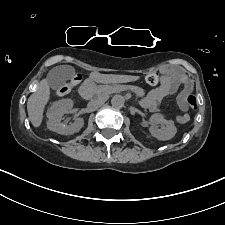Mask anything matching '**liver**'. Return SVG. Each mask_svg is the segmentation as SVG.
<instances>
[{"label":"liver","instance_id":"1","mask_svg":"<svg viewBox=\"0 0 225 225\" xmlns=\"http://www.w3.org/2000/svg\"><path fill=\"white\" fill-rule=\"evenodd\" d=\"M134 76H122L111 74H100L99 72H92L90 74V80L97 83H117L136 80ZM50 99V87L47 79H42L36 91L30 95L27 101V112L29 120L32 125L37 128L41 125L43 120V112L46 104Z\"/></svg>","mask_w":225,"mask_h":225}]
</instances>
